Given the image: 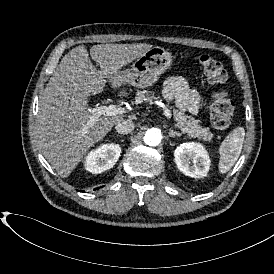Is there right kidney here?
I'll return each instance as SVG.
<instances>
[{"instance_id": "ca27d5eb", "label": "right kidney", "mask_w": 274, "mask_h": 274, "mask_svg": "<svg viewBox=\"0 0 274 274\" xmlns=\"http://www.w3.org/2000/svg\"><path fill=\"white\" fill-rule=\"evenodd\" d=\"M120 153L121 149L118 145H103L89 154L85 166L93 174L104 172L116 164Z\"/></svg>"}]
</instances>
